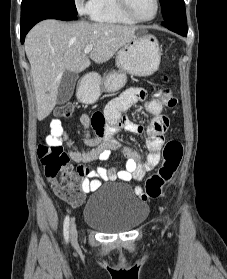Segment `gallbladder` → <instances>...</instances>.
<instances>
[{
    "mask_svg": "<svg viewBox=\"0 0 227 279\" xmlns=\"http://www.w3.org/2000/svg\"><path fill=\"white\" fill-rule=\"evenodd\" d=\"M77 80H78L77 73L71 71L64 72L58 88V94H57L58 104H63L72 97Z\"/></svg>",
    "mask_w": 227,
    "mask_h": 279,
    "instance_id": "obj_1",
    "label": "gallbladder"
}]
</instances>
